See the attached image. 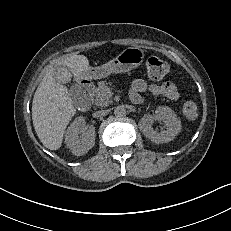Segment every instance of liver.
I'll return each instance as SVG.
<instances>
[{
  "label": "liver",
  "mask_w": 231,
  "mask_h": 231,
  "mask_svg": "<svg viewBox=\"0 0 231 231\" xmlns=\"http://www.w3.org/2000/svg\"><path fill=\"white\" fill-rule=\"evenodd\" d=\"M59 71L68 70L75 77L88 70L89 60L84 55H72L58 63ZM51 69L40 82L32 102V120L42 144L50 150H58L65 130L76 110L69 96L68 88L54 77ZM59 75V73L57 74Z\"/></svg>",
  "instance_id": "obj_1"
}]
</instances>
